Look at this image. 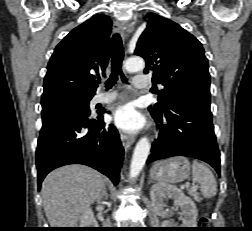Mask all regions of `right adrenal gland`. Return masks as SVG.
Segmentation results:
<instances>
[{"mask_svg": "<svg viewBox=\"0 0 252 231\" xmlns=\"http://www.w3.org/2000/svg\"><path fill=\"white\" fill-rule=\"evenodd\" d=\"M102 198H108L106 187L104 186L101 194L99 195L98 199L101 200Z\"/></svg>", "mask_w": 252, "mask_h": 231, "instance_id": "obj_1", "label": "right adrenal gland"}]
</instances>
